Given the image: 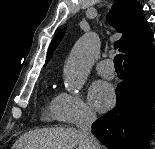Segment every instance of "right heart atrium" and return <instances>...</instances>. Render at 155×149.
Here are the masks:
<instances>
[{
    "label": "right heart atrium",
    "instance_id": "obj_1",
    "mask_svg": "<svg viewBox=\"0 0 155 149\" xmlns=\"http://www.w3.org/2000/svg\"><path fill=\"white\" fill-rule=\"evenodd\" d=\"M58 120L67 125L90 124L96 120L93 109L78 93L62 92L56 97Z\"/></svg>",
    "mask_w": 155,
    "mask_h": 149
}]
</instances>
